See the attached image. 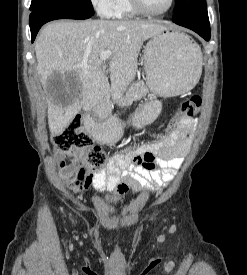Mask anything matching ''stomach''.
<instances>
[{
	"mask_svg": "<svg viewBox=\"0 0 247 275\" xmlns=\"http://www.w3.org/2000/svg\"><path fill=\"white\" fill-rule=\"evenodd\" d=\"M144 70L150 91L159 97L181 95L191 90L202 72V54L197 44L180 32L165 30L152 36L144 50ZM161 103L150 101L132 117V125L142 128L152 123ZM92 131L102 142L113 143L122 136L119 125L94 124Z\"/></svg>",
	"mask_w": 247,
	"mask_h": 275,
	"instance_id": "obj_1",
	"label": "stomach"
}]
</instances>
